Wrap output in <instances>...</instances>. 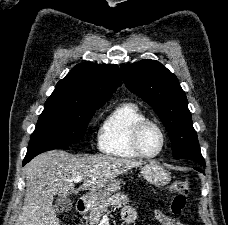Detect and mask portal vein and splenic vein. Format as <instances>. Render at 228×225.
I'll list each match as a JSON object with an SVG mask.
<instances>
[{
  "mask_svg": "<svg viewBox=\"0 0 228 225\" xmlns=\"http://www.w3.org/2000/svg\"><path fill=\"white\" fill-rule=\"evenodd\" d=\"M72 181H74V183H80V181H82V177H76V179H72Z\"/></svg>",
  "mask_w": 228,
  "mask_h": 225,
  "instance_id": "18ae733b",
  "label": "portal vein and splenic vein"
}]
</instances>
